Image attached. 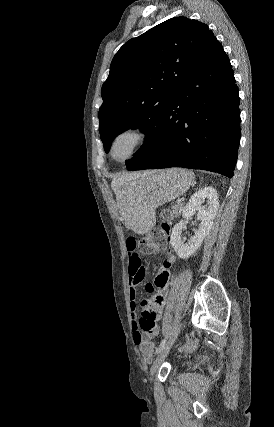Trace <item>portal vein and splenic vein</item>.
<instances>
[{
    "instance_id": "portal-vein-and-splenic-vein-1",
    "label": "portal vein and splenic vein",
    "mask_w": 274,
    "mask_h": 427,
    "mask_svg": "<svg viewBox=\"0 0 274 427\" xmlns=\"http://www.w3.org/2000/svg\"><path fill=\"white\" fill-rule=\"evenodd\" d=\"M177 204H181V200H177Z\"/></svg>"
}]
</instances>
